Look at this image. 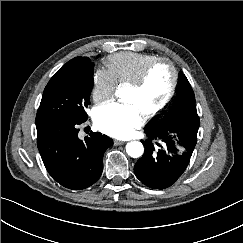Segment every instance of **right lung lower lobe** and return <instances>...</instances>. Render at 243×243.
<instances>
[{"instance_id":"right-lung-lower-lobe-1","label":"right lung lower lobe","mask_w":243,"mask_h":243,"mask_svg":"<svg viewBox=\"0 0 243 243\" xmlns=\"http://www.w3.org/2000/svg\"><path fill=\"white\" fill-rule=\"evenodd\" d=\"M86 120L36 118L37 146L51 177L62 186L81 190L94 184L103 170L104 152L112 140L100 133L78 138Z\"/></svg>"}]
</instances>
